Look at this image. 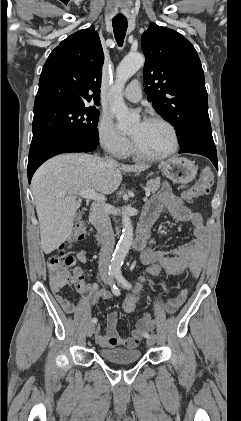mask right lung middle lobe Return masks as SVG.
Wrapping results in <instances>:
<instances>
[{"instance_id": "1", "label": "right lung middle lobe", "mask_w": 241, "mask_h": 421, "mask_svg": "<svg viewBox=\"0 0 241 421\" xmlns=\"http://www.w3.org/2000/svg\"><path fill=\"white\" fill-rule=\"evenodd\" d=\"M99 111L86 105L51 104L34 108L32 143L54 137H73L99 144Z\"/></svg>"}]
</instances>
